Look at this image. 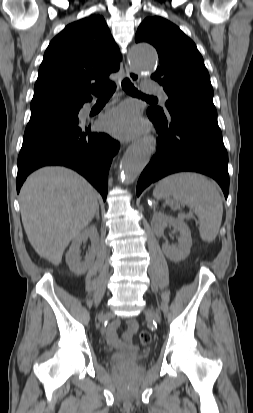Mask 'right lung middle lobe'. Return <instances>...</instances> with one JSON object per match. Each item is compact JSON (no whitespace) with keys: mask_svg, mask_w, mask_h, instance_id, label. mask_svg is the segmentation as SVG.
Returning <instances> with one entry per match:
<instances>
[{"mask_svg":"<svg viewBox=\"0 0 253 413\" xmlns=\"http://www.w3.org/2000/svg\"><path fill=\"white\" fill-rule=\"evenodd\" d=\"M80 108L52 110L31 114L27 124L23 141L33 139L44 134L70 129L79 125L78 112Z\"/></svg>","mask_w":253,"mask_h":413,"instance_id":"dd1d6c3e","label":"right lung middle lobe"}]
</instances>
